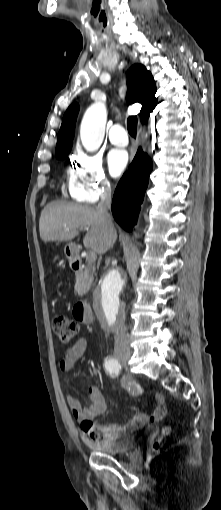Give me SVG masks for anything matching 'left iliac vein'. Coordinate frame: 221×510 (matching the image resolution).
Listing matches in <instances>:
<instances>
[{"label": "left iliac vein", "instance_id": "1", "mask_svg": "<svg viewBox=\"0 0 221 510\" xmlns=\"http://www.w3.org/2000/svg\"><path fill=\"white\" fill-rule=\"evenodd\" d=\"M125 364H126V362H122V365H125Z\"/></svg>", "mask_w": 221, "mask_h": 510}]
</instances>
